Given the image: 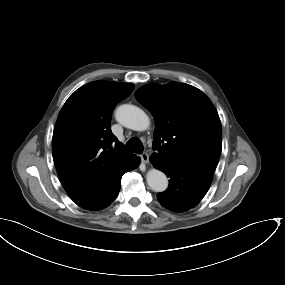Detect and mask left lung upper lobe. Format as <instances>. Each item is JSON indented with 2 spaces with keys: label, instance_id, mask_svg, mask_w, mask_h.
<instances>
[{
  "label": "left lung upper lobe",
  "instance_id": "left-lung-upper-lobe-1",
  "mask_svg": "<svg viewBox=\"0 0 285 285\" xmlns=\"http://www.w3.org/2000/svg\"><path fill=\"white\" fill-rule=\"evenodd\" d=\"M136 99L154 117L153 157H160L212 177L222 149V128L210 99L178 82L147 84Z\"/></svg>",
  "mask_w": 285,
  "mask_h": 285
}]
</instances>
